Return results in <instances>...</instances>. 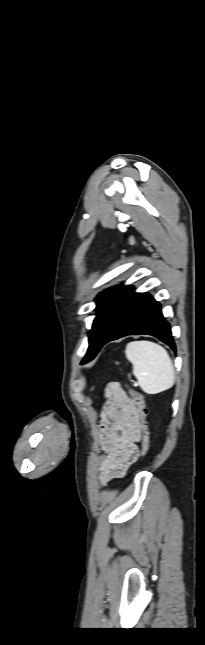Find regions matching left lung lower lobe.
I'll list each match as a JSON object with an SVG mask.
<instances>
[{"label":"left lung lower lobe","instance_id":"0a47b994","mask_svg":"<svg viewBox=\"0 0 205 645\" xmlns=\"http://www.w3.org/2000/svg\"><path fill=\"white\" fill-rule=\"evenodd\" d=\"M141 334L154 336L176 350L159 302L148 293H135L133 287H123L113 304L101 347L124 336Z\"/></svg>","mask_w":205,"mask_h":645}]
</instances>
